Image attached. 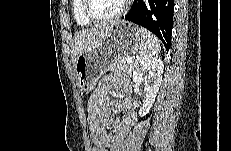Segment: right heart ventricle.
I'll list each match as a JSON object with an SVG mask.
<instances>
[{
  "instance_id": "right-heart-ventricle-1",
  "label": "right heart ventricle",
  "mask_w": 231,
  "mask_h": 151,
  "mask_svg": "<svg viewBox=\"0 0 231 151\" xmlns=\"http://www.w3.org/2000/svg\"><path fill=\"white\" fill-rule=\"evenodd\" d=\"M73 15L75 21L81 26H89L92 22L88 20L83 13V0H74Z\"/></svg>"
}]
</instances>
